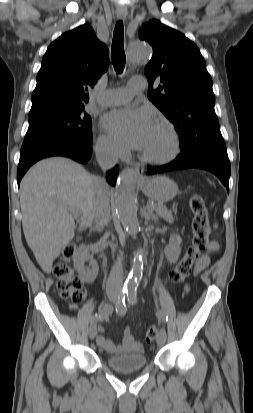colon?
Masks as SVG:
<instances>
[{"instance_id":"5ec220e1","label":"colon","mask_w":253,"mask_h":413,"mask_svg":"<svg viewBox=\"0 0 253 413\" xmlns=\"http://www.w3.org/2000/svg\"><path fill=\"white\" fill-rule=\"evenodd\" d=\"M190 207L193 212V239L184 257L170 271L168 280L171 285L181 283L192 271L202 252L208 247L209 242V217L203 197L195 193L190 200ZM76 250L75 244L67 245L62 253L61 261L57 262L53 268V273L58 279L57 287L63 299L73 303L81 302L85 297V290L82 281L74 274L70 260ZM157 336V329L150 327L145 333L147 342L153 341Z\"/></svg>"}]
</instances>
